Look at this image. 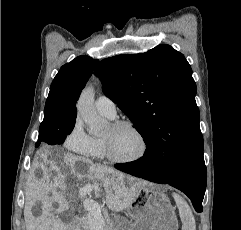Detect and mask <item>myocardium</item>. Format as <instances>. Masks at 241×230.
Segmentation results:
<instances>
[{"label":"myocardium","mask_w":241,"mask_h":230,"mask_svg":"<svg viewBox=\"0 0 241 230\" xmlns=\"http://www.w3.org/2000/svg\"><path fill=\"white\" fill-rule=\"evenodd\" d=\"M110 126L113 129H117L120 127H128L136 133V135L139 137V139L141 141V151L139 152L138 155H136L135 157L129 158V159H121V158L116 157L113 154L110 142L107 139L103 138L105 155L111 162L116 163V164H132V163L142 160L146 156V154L148 152L147 139H146L144 133L133 122L128 121V120H117V121H114L113 123H111Z\"/></svg>","instance_id":"myocardium-1"}]
</instances>
